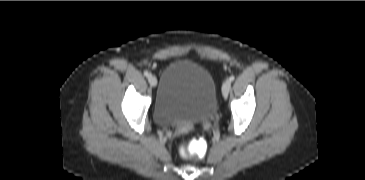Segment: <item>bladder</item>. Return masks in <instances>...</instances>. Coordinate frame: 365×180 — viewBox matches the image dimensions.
<instances>
[{
  "instance_id": "obj_1",
  "label": "bladder",
  "mask_w": 365,
  "mask_h": 180,
  "mask_svg": "<svg viewBox=\"0 0 365 180\" xmlns=\"http://www.w3.org/2000/svg\"><path fill=\"white\" fill-rule=\"evenodd\" d=\"M217 110V85L209 70L190 60L164 69L153 105L157 124L165 127L206 121Z\"/></svg>"
}]
</instances>
